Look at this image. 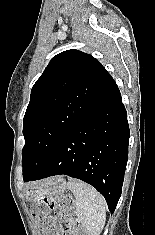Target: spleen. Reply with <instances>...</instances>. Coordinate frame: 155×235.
I'll use <instances>...</instances> for the list:
<instances>
[{
  "instance_id": "obj_1",
  "label": "spleen",
  "mask_w": 155,
  "mask_h": 235,
  "mask_svg": "<svg viewBox=\"0 0 155 235\" xmlns=\"http://www.w3.org/2000/svg\"><path fill=\"white\" fill-rule=\"evenodd\" d=\"M76 199V217L87 235H100L105 222L107 204L103 196L92 186L77 180L67 183Z\"/></svg>"
}]
</instances>
